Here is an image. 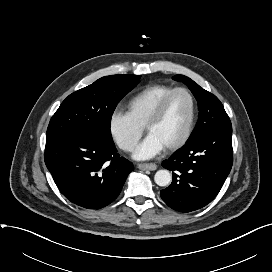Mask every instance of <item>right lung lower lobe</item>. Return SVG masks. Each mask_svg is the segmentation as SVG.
Returning <instances> with one entry per match:
<instances>
[{
	"mask_svg": "<svg viewBox=\"0 0 272 272\" xmlns=\"http://www.w3.org/2000/svg\"><path fill=\"white\" fill-rule=\"evenodd\" d=\"M44 159L60 192L87 209H100L115 200L134 169L114 143L86 132L46 141Z\"/></svg>",
	"mask_w": 272,
	"mask_h": 272,
	"instance_id": "98d812e1",
	"label": "right lung lower lobe"
}]
</instances>
